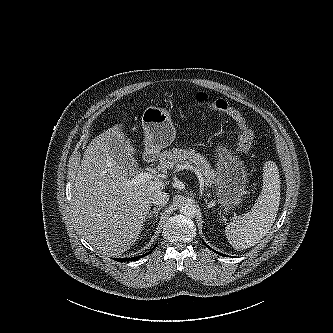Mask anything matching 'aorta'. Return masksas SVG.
<instances>
[{
    "label": "aorta",
    "instance_id": "1",
    "mask_svg": "<svg viewBox=\"0 0 333 333\" xmlns=\"http://www.w3.org/2000/svg\"><path fill=\"white\" fill-rule=\"evenodd\" d=\"M179 211L183 216L193 218L197 214V206L192 202H184L181 204Z\"/></svg>",
    "mask_w": 333,
    "mask_h": 333
}]
</instances>
